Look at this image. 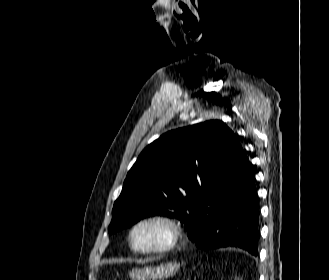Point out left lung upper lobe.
Here are the masks:
<instances>
[{
    "label": "left lung upper lobe",
    "instance_id": "5c2ea615",
    "mask_svg": "<svg viewBox=\"0 0 329 280\" xmlns=\"http://www.w3.org/2000/svg\"><path fill=\"white\" fill-rule=\"evenodd\" d=\"M242 147L222 121L169 131L139 155L115 201L109 234L147 215L177 218L194 233L201 205L233 180Z\"/></svg>",
    "mask_w": 329,
    "mask_h": 280
}]
</instances>
